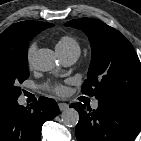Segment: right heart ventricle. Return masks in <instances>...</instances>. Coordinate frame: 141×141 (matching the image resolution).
<instances>
[{"label": "right heart ventricle", "mask_w": 141, "mask_h": 141, "mask_svg": "<svg viewBox=\"0 0 141 141\" xmlns=\"http://www.w3.org/2000/svg\"><path fill=\"white\" fill-rule=\"evenodd\" d=\"M56 50L59 55L80 54L79 41L71 35L61 36L56 43Z\"/></svg>", "instance_id": "obj_1"}]
</instances>
